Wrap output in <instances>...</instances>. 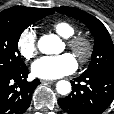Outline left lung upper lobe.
Wrapping results in <instances>:
<instances>
[{
	"instance_id": "5c2ea615",
	"label": "left lung upper lobe",
	"mask_w": 114,
	"mask_h": 114,
	"mask_svg": "<svg viewBox=\"0 0 114 114\" xmlns=\"http://www.w3.org/2000/svg\"><path fill=\"white\" fill-rule=\"evenodd\" d=\"M54 9L61 14H66L82 21L94 36L92 60L85 73L114 71V45L102 22L77 8L57 7Z\"/></svg>"
}]
</instances>
